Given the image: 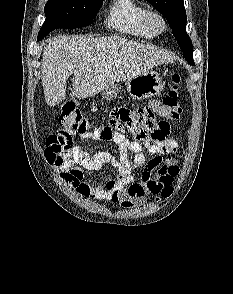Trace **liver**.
Segmentation results:
<instances>
[{
	"label": "liver",
	"mask_w": 233,
	"mask_h": 294,
	"mask_svg": "<svg viewBox=\"0 0 233 294\" xmlns=\"http://www.w3.org/2000/svg\"><path fill=\"white\" fill-rule=\"evenodd\" d=\"M174 59L158 48L122 37L61 36L49 41L42 55V85L47 105L66 98L71 74L72 96L92 97L115 82L136 77Z\"/></svg>",
	"instance_id": "1"
}]
</instances>
